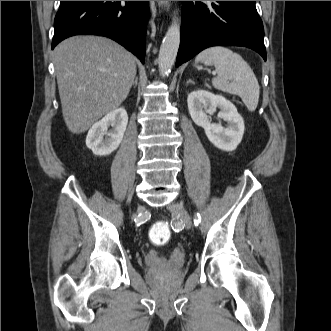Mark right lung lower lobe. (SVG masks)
<instances>
[{
  "label": "right lung lower lobe",
  "mask_w": 331,
  "mask_h": 331,
  "mask_svg": "<svg viewBox=\"0 0 331 331\" xmlns=\"http://www.w3.org/2000/svg\"><path fill=\"white\" fill-rule=\"evenodd\" d=\"M148 1H61L54 21L52 49L74 35L109 37L145 59Z\"/></svg>",
  "instance_id": "1"
}]
</instances>
